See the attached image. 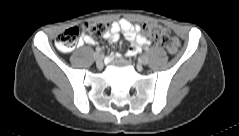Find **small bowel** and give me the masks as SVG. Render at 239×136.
<instances>
[{
    "label": "small bowel",
    "instance_id": "small-bowel-1",
    "mask_svg": "<svg viewBox=\"0 0 239 136\" xmlns=\"http://www.w3.org/2000/svg\"><path fill=\"white\" fill-rule=\"evenodd\" d=\"M120 33H123L124 37L131 43V48L127 52L129 57L136 55L144 46L150 44L149 39L140 33V26L126 19L113 22L104 37L115 43L119 40ZM81 41L90 45L96 44L95 39L85 34L82 36Z\"/></svg>",
    "mask_w": 239,
    "mask_h": 136
}]
</instances>
